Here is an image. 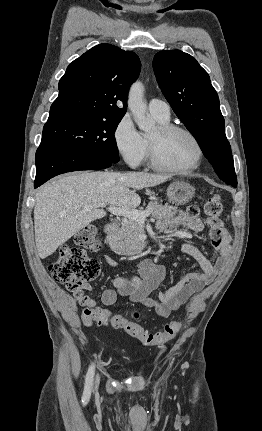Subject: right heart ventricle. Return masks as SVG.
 <instances>
[{"mask_svg":"<svg viewBox=\"0 0 262 431\" xmlns=\"http://www.w3.org/2000/svg\"><path fill=\"white\" fill-rule=\"evenodd\" d=\"M153 115V114H152ZM153 117L155 118V120L159 123V124H167V123H169V118L168 119H162V118H159V117H157V116H155V115H153ZM146 141V140H145ZM146 144H147V141H146ZM148 148V147H147Z\"/></svg>","mask_w":262,"mask_h":431,"instance_id":"1","label":"right heart ventricle"}]
</instances>
